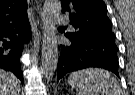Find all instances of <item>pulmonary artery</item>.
I'll use <instances>...</instances> for the list:
<instances>
[{
    "label": "pulmonary artery",
    "instance_id": "e3ab8cb5",
    "mask_svg": "<svg viewBox=\"0 0 135 95\" xmlns=\"http://www.w3.org/2000/svg\"><path fill=\"white\" fill-rule=\"evenodd\" d=\"M57 21L59 23H66L67 22V18H66V16H58L57 17Z\"/></svg>",
    "mask_w": 135,
    "mask_h": 95
}]
</instances>
